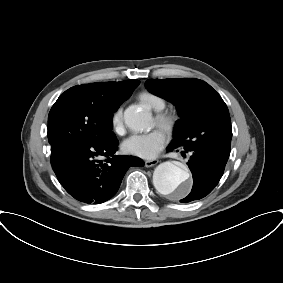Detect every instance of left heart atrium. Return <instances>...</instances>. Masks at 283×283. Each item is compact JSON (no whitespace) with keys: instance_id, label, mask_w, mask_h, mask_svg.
I'll list each match as a JSON object with an SVG mask.
<instances>
[{"instance_id":"1","label":"left heart atrium","mask_w":283,"mask_h":283,"mask_svg":"<svg viewBox=\"0 0 283 283\" xmlns=\"http://www.w3.org/2000/svg\"><path fill=\"white\" fill-rule=\"evenodd\" d=\"M166 143V136L160 129L148 134H135L123 142V150L127 154L142 158L152 159L157 156Z\"/></svg>"}]
</instances>
